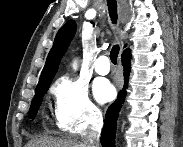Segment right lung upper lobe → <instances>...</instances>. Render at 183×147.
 Instances as JSON below:
<instances>
[{
  "label": "right lung upper lobe",
  "mask_w": 183,
  "mask_h": 147,
  "mask_svg": "<svg viewBox=\"0 0 183 147\" xmlns=\"http://www.w3.org/2000/svg\"><path fill=\"white\" fill-rule=\"evenodd\" d=\"M76 31V24L73 20H69L64 24L57 32L54 44L50 50L45 66L42 70L40 80L36 87V90L41 88L49 87L60 63L61 58L66 52L74 34ZM130 51L126 49L124 52ZM123 52V53H124Z\"/></svg>",
  "instance_id": "1"
}]
</instances>
